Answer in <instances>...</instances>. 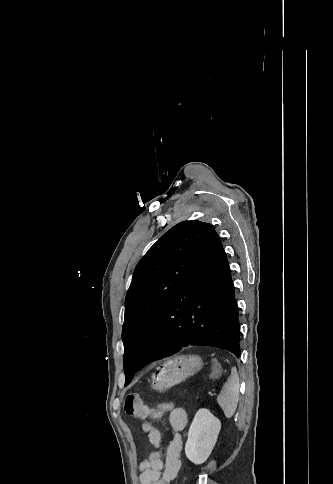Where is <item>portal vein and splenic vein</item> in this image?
<instances>
[{
  "mask_svg": "<svg viewBox=\"0 0 333 484\" xmlns=\"http://www.w3.org/2000/svg\"><path fill=\"white\" fill-rule=\"evenodd\" d=\"M208 395L213 397V396H215V395H216V393H215V391L213 390V391H209V392H208Z\"/></svg>",
  "mask_w": 333,
  "mask_h": 484,
  "instance_id": "portal-vein-and-splenic-vein-1",
  "label": "portal vein and splenic vein"
}]
</instances>
